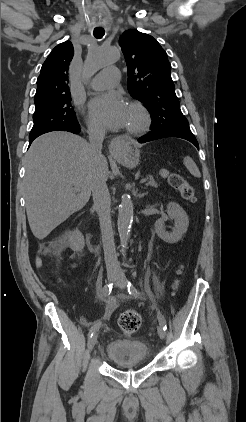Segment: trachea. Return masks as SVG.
Segmentation results:
<instances>
[{
    "instance_id": "trachea-1",
    "label": "trachea",
    "mask_w": 246,
    "mask_h": 422,
    "mask_svg": "<svg viewBox=\"0 0 246 422\" xmlns=\"http://www.w3.org/2000/svg\"><path fill=\"white\" fill-rule=\"evenodd\" d=\"M105 34V30L102 27H97L94 29L93 35L97 39H101Z\"/></svg>"
}]
</instances>
